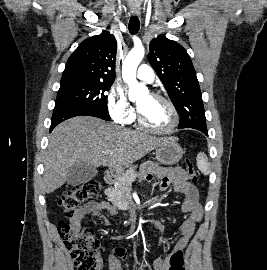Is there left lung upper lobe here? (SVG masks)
Segmentation results:
<instances>
[{"label":"left lung upper lobe","instance_id":"left-lung-upper-lobe-1","mask_svg":"<svg viewBox=\"0 0 267 270\" xmlns=\"http://www.w3.org/2000/svg\"><path fill=\"white\" fill-rule=\"evenodd\" d=\"M149 49L147 59L180 114L178 128H207L199 83L186 50L163 36L153 39Z\"/></svg>","mask_w":267,"mask_h":270}]
</instances>
